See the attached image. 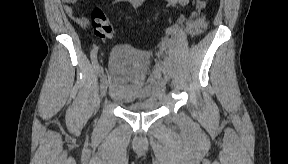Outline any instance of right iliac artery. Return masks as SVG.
Returning <instances> with one entry per match:
<instances>
[{
    "instance_id": "right-iliac-artery-1",
    "label": "right iliac artery",
    "mask_w": 288,
    "mask_h": 164,
    "mask_svg": "<svg viewBox=\"0 0 288 164\" xmlns=\"http://www.w3.org/2000/svg\"><path fill=\"white\" fill-rule=\"evenodd\" d=\"M97 52H98V47L95 46L91 51L90 57H91V61L94 66V69L96 70V73L98 74V76H101L102 69L100 68L98 64Z\"/></svg>"
}]
</instances>
